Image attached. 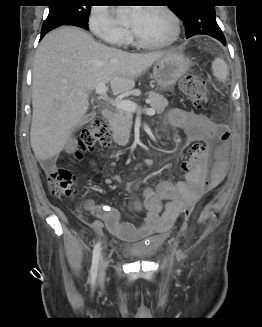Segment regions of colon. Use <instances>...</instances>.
Wrapping results in <instances>:
<instances>
[{"instance_id": "1", "label": "colon", "mask_w": 262, "mask_h": 327, "mask_svg": "<svg viewBox=\"0 0 262 327\" xmlns=\"http://www.w3.org/2000/svg\"><path fill=\"white\" fill-rule=\"evenodd\" d=\"M180 90L198 108L203 107L207 101V85L205 80L196 74L182 77L179 83ZM111 142L110 132L106 121L97 117L93 119L80 133L78 148L85 151L96 146H107ZM231 150V134L227 126L217 125L216 142L208 153V174L205 180V191L217 187L224 179ZM204 151V145L196 144L190 149V154ZM49 189L56 197H71L75 194L74 177L64 168L53 169L48 175ZM198 200H188L182 214L188 218Z\"/></svg>"}]
</instances>
